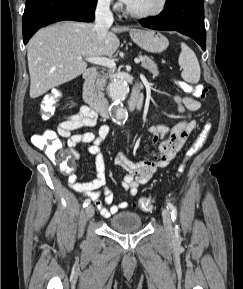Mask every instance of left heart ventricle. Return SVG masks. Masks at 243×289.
Instances as JSON below:
<instances>
[{
    "label": "left heart ventricle",
    "mask_w": 243,
    "mask_h": 289,
    "mask_svg": "<svg viewBox=\"0 0 243 289\" xmlns=\"http://www.w3.org/2000/svg\"><path fill=\"white\" fill-rule=\"evenodd\" d=\"M159 0H130L127 4L132 10L137 12H145L154 9Z\"/></svg>",
    "instance_id": "b2bd125f"
}]
</instances>
